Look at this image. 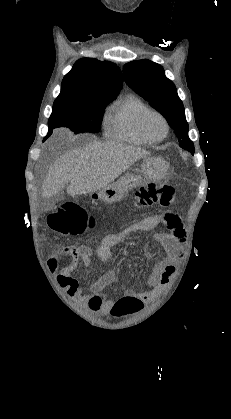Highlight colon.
Wrapping results in <instances>:
<instances>
[{
	"instance_id": "colon-1",
	"label": "colon",
	"mask_w": 231,
	"mask_h": 419,
	"mask_svg": "<svg viewBox=\"0 0 231 419\" xmlns=\"http://www.w3.org/2000/svg\"><path fill=\"white\" fill-rule=\"evenodd\" d=\"M176 202V191L171 184L154 183L141 187L135 195L133 209L147 208L154 205L171 207ZM87 216L83 208L73 203H66L49 215L51 228L60 234H77L85 228ZM92 223V221H90ZM58 262V258L55 257ZM143 302L136 296L125 295L119 298L111 309V315L122 317L139 312Z\"/></svg>"
}]
</instances>
